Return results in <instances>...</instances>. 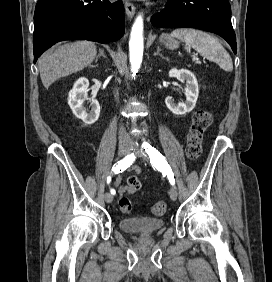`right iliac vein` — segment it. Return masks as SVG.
Masks as SVG:
<instances>
[{
  "label": "right iliac vein",
  "mask_w": 272,
  "mask_h": 282,
  "mask_svg": "<svg viewBox=\"0 0 272 282\" xmlns=\"http://www.w3.org/2000/svg\"><path fill=\"white\" fill-rule=\"evenodd\" d=\"M130 151V145L129 142L126 140H121L119 142V147H118V154L119 156H123L127 154ZM105 201L107 203H111L113 201V196L112 194L106 193L105 194Z\"/></svg>",
  "instance_id": "1"
}]
</instances>
